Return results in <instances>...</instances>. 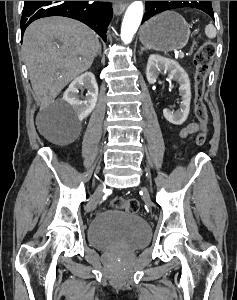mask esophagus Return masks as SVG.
Listing matches in <instances>:
<instances>
[{"label": "esophagus", "mask_w": 237, "mask_h": 300, "mask_svg": "<svg viewBox=\"0 0 237 300\" xmlns=\"http://www.w3.org/2000/svg\"><path fill=\"white\" fill-rule=\"evenodd\" d=\"M128 1H115L113 11L115 15H120L127 8Z\"/></svg>", "instance_id": "34e87169"}]
</instances>
